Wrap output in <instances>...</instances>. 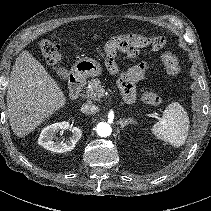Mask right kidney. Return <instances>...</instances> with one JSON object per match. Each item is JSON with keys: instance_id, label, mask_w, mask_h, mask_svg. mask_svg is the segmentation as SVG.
Instances as JSON below:
<instances>
[{"instance_id": "obj_1", "label": "right kidney", "mask_w": 211, "mask_h": 211, "mask_svg": "<svg viewBox=\"0 0 211 211\" xmlns=\"http://www.w3.org/2000/svg\"><path fill=\"white\" fill-rule=\"evenodd\" d=\"M69 129L72 136L68 141H57L56 133L59 130ZM82 131L78 127H72L68 122L54 123L45 127L40 134L38 144L51 152L63 153L74 149L76 143L80 140Z\"/></svg>"}]
</instances>
